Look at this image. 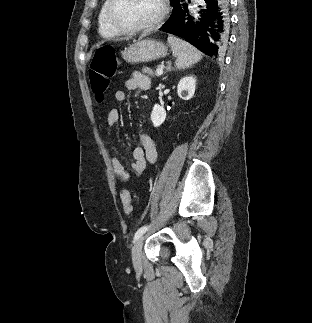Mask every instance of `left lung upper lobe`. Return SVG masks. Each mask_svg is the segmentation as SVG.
<instances>
[{
  "label": "left lung upper lobe",
  "mask_w": 312,
  "mask_h": 323,
  "mask_svg": "<svg viewBox=\"0 0 312 323\" xmlns=\"http://www.w3.org/2000/svg\"><path fill=\"white\" fill-rule=\"evenodd\" d=\"M171 1V3L173 4V11H172V14H171V16H170V18L169 19H171L173 16H174V14H175V12H176V10H177V7H178V5L180 4V0H170ZM168 19V20H169Z\"/></svg>",
  "instance_id": "5c2ea615"
}]
</instances>
